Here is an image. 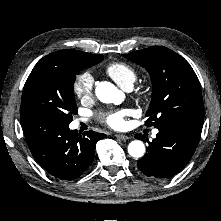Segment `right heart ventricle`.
Here are the masks:
<instances>
[{
	"label": "right heart ventricle",
	"instance_id": "obj_1",
	"mask_svg": "<svg viewBox=\"0 0 221 221\" xmlns=\"http://www.w3.org/2000/svg\"><path fill=\"white\" fill-rule=\"evenodd\" d=\"M105 72L124 89L131 88L137 79L134 68L124 62L108 64L105 68Z\"/></svg>",
	"mask_w": 221,
	"mask_h": 221
}]
</instances>
